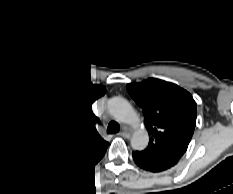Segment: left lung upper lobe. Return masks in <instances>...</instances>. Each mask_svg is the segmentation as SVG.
Listing matches in <instances>:
<instances>
[{"instance_id": "obj_1", "label": "left lung upper lobe", "mask_w": 233, "mask_h": 194, "mask_svg": "<svg viewBox=\"0 0 233 194\" xmlns=\"http://www.w3.org/2000/svg\"><path fill=\"white\" fill-rule=\"evenodd\" d=\"M127 90L142 108L150 142L143 153L179 160L187 150L196 125V102L176 84L150 78L127 84Z\"/></svg>"}]
</instances>
